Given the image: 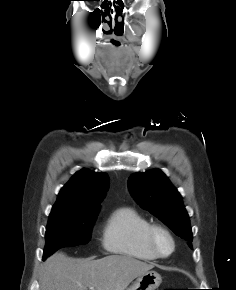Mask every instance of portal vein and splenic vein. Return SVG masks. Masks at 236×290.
Returning a JSON list of instances; mask_svg holds the SVG:
<instances>
[{
	"label": "portal vein and splenic vein",
	"mask_w": 236,
	"mask_h": 290,
	"mask_svg": "<svg viewBox=\"0 0 236 290\" xmlns=\"http://www.w3.org/2000/svg\"><path fill=\"white\" fill-rule=\"evenodd\" d=\"M89 289H90V290H94V288H92V287H91V288H89Z\"/></svg>",
	"instance_id": "portal-vein-and-splenic-vein-1"
}]
</instances>
